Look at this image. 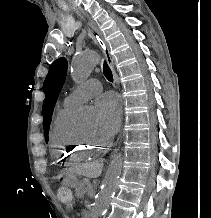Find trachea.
<instances>
[{
  "label": "trachea",
  "instance_id": "3493384b",
  "mask_svg": "<svg viewBox=\"0 0 211 218\" xmlns=\"http://www.w3.org/2000/svg\"><path fill=\"white\" fill-rule=\"evenodd\" d=\"M103 74L104 76L107 78V80L109 82H113V75H112V71L109 68L108 64L104 61L103 62Z\"/></svg>",
  "mask_w": 211,
  "mask_h": 218
}]
</instances>
